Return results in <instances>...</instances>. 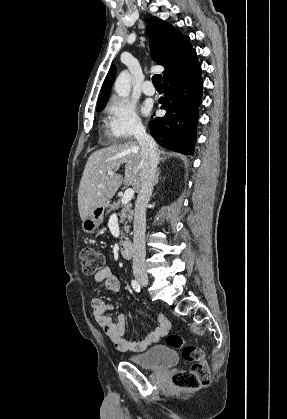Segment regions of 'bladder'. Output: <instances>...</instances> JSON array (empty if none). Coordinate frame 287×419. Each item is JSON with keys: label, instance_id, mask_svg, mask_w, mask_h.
Masks as SVG:
<instances>
[{"label": "bladder", "instance_id": "obj_1", "mask_svg": "<svg viewBox=\"0 0 287 419\" xmlns=\"http://www.w3.org/2000/svg\"><path fill=\"white\" fill-rule=\"evenodd\" d=\"M129 360L146 369L165 370L177 362L174 350L169 346H154L143 353L132 355Z\"/></svg>", "mask_w": 287, "mask_h": 419}]
</instances>
